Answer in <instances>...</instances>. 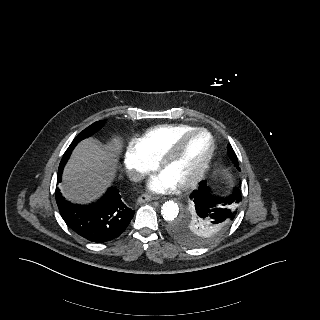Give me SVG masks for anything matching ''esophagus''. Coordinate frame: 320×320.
<instances>
[{"label": "esophagus", "mask_w": 320, "mask_h": 320, "mask_svg": "<svg viewBox=\"0 0 320 320\" xmlns=\"http://www.w3.org/2000/svg\"><path fill=\"white\" fill-rule=\"evenodd\" d=\"M152 200H153V198L150 195L143 194V195L138 197L137 203L138 204H142V203H146V202H149V201H152Z\"/></svg>", "instance_id": "1"}]
</instances>
